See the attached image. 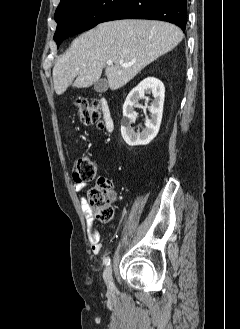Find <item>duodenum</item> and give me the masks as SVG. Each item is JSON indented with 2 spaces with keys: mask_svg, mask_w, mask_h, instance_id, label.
<instances>
[{
  "mask_svg": "<svg viewBox=\"0 0 240 329\" xmlns=\"http://www.w3.org/2000/svg\"><path fill=\"white\" fill-rule=\"evenodd\" d=\"M101 110L107 131L112 132L114 128V122L111 115L109 103L105 98H103L101 101Z\"/></svg>",
  "mask_w": 240,
  "mask_h": 329,
  "instance_id": "1",
  "label": "duodenum"
}]
</instances>
